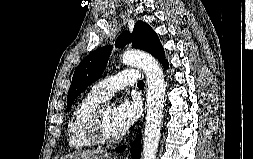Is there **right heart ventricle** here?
<instances>
[{
  "mask_svg": "<svg viewBox=\"0 0 253 159\" xmlns=\"http://www.w3.org/2000/svg\"><path fill=\"white\" fill-rule=\"evenodd\" d=\"M103 101L101 97L89 92L74 107L67 125V140L70 148L85 150L93 147L94 144L87 135V126L94 111Z\"/></svg>",
  "mask_w": 253,
  "mask_h": 159,
  "instance_id": "obj_1",
  "label": "right heart ventricle"
}]
</instances>
